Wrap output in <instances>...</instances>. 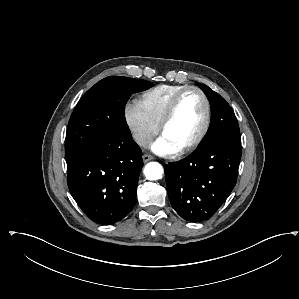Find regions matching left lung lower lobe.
I'll list each match as a JSON object with an SVG mask.
<instances>
[{"label":"left lung lower lobe","mask_w":299,"mask_h":299,"mask_svg":"<svg viewBox=\"0 0 299 299\" xmlns=\"http://www.w3.org/2000/svg\"><path fill=\"white\" fill-rule=\"evenodd\" d=\"M241 153V144L216 141L168 163L167 192L176 212L191 222L209 219L236 184Z\"/></svg>","instance_id":"left-lung-lower-lobe-1"}]
</instances>
